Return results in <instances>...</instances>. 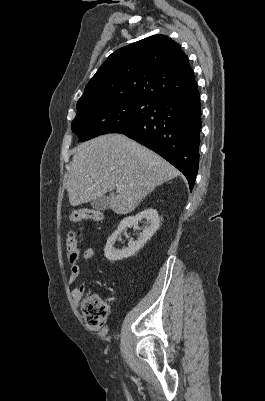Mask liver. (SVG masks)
Returning <instances> with one entry per match:
<instances>
[{
  "label": "liver",
  "instance_id": "6515ba94",
  "mask_svg": "<svg viewBox=\"0 0 265 401\" xmlns=\"http://www.w3.org/2000/svg\"><path fill=\"white\" fill-rule=\"evenodd\" d=\"M67 180L71 207L110 192L109 207L117 215L132 213L156 186L180 174L162 156L124 134H103L78 144ZM116 184L125 188L112 192Z\"/></svg>",
  "mask_w": 265,
  "mask_h": 401
}]
</instances>
